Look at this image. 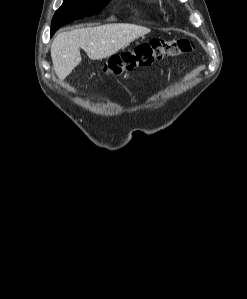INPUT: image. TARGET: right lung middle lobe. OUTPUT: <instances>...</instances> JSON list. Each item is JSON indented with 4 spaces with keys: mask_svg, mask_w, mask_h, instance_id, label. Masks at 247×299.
<instances>
[{
    "mask_svg": "<svg viewBox=\"0 0 247 299\" xmlns=\"http://www.w3.org/2000/svg\"><path fill=\"white\" fill-rule=\"evenodd\" d=\"M110 0H64L56 11L51 26V36L61 26L76 19L99 13Z\"/></svg>",
    "mask_w": 247,
    "mask_h": 299,
    "instance_id": "right-lung-middle-lobe-1",
    "label": "right lung middle lobe"
}]
</instances>
